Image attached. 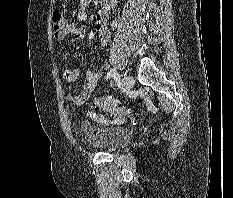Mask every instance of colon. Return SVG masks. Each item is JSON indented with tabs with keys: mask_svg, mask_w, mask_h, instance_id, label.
<instances>
[{
	"mask_svg": "<svg viewBox=\"0 0 233 198\" xmlns=\"http://www.w3.org/2000/svg\"><path fill=\"white\" fill-rule=\"evenodd\" d=\"M52 19L55 33L60 32L66 24L65 17L60 11L56 10L53 12ZM94 107L96 110L104 111L112 116H122L126 111L120 102L110 97L97 99L94 103Z\"/></svg>",
	"mask_w": 233,
	"mask_h": 198,
	"instance_id": "1",
	"label": "colon"
}]
</instances>
